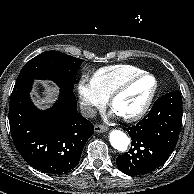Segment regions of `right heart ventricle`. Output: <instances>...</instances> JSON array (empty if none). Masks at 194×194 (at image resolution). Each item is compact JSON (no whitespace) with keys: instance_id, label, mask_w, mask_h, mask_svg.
<instances>
[{"instance_id":"obj_1","label":"right heart ventricle","mask_w":194,"mask_h":194,"mask_svg":"<svg viewBox=\"0 0 194 194\" xmlns=\"http://www.w3.org/2000/svg\"><path fill=\"white\" fill-rule=\"evenodd\" d=\"M142 71L141 68L133 65H111L96 70L91 81L98 93L103 98L108 99L121 82Z\"/></svg>"}]
</instances>
